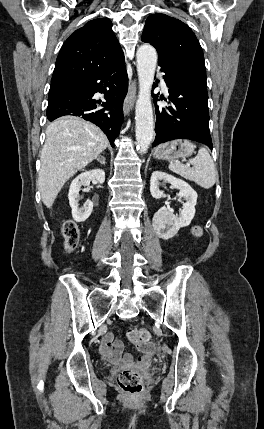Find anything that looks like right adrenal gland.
<instances>
[{
	"mask_svg": "<svg viewBox=\"0 0 264 429\" xmlns=\"http://www.w3.org/2000/svg\"><path fill=\"white\" fill-rule=\"evenodd\" d=\"M96 160H97L100 164H103V165H105V164H106V159H105V157H104V156H99Z\"/></svg>",
	"mask_w": 264,
	"mask_h": 429,
	"instance_id": "right-adrenal-gland-1",
	"label": "right adrenal gland"
}]
</instances>
